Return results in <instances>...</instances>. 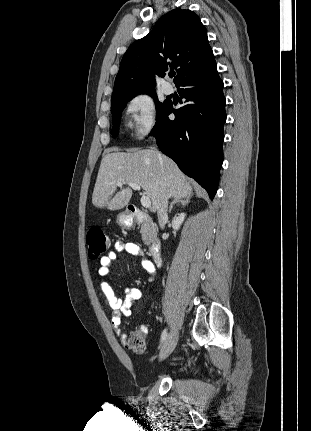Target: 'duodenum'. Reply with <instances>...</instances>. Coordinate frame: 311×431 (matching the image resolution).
<instances>
[{
    "mask_svg": "<svg viewBox=\"0 0 311 431\" xmlns=\"http://www.w3.org/2000/svg\"><path fill=\"white\" fill-rule=\"evenodd\" d=\"M128 217L135 223H144L148 220V216L139 208L133 205L127 207ZM161 247L159 242H153L149 246V254L152 260L158 264L160 262Z\"/></svg>",
    "mask_w": 311,
    "mask_h": 431,
    "instance_id": "duodenum-1",
    "label": "duodenum"
}]
</instances>
